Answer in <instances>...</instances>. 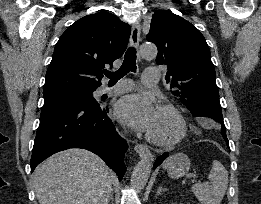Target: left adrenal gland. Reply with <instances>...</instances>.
Masks as SVG:
<instances>
[{
  "label": "left adrenal gland",
  "mask_w": 261,
  "mask_h": 204,
  "mask_svg": "<svg viewBox=\"0 0 261 204\" xmlns=\"http://www.w3.org/2000/svg\"><path fill=\"white\" fill-rule=\"evenodd\" d=\"M162 191H167V189H165V188H162L161 186H159V188H158V191H157L156 195H160Z\"/></svg>",
  "instance_id": "obj_1"
}]
</instances>
